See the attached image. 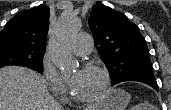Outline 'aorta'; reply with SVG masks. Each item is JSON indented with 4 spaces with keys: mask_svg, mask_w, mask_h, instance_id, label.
Wrapping results in <instances>:
<instances>
[{
    "mask_svg": "<svg viewBox=\"0 0 171 110\" xmlns=\"http://www.w3.org/2000/svg\"><path fill=\"white\" fill-rule=\"evenodd\" d=\"M80 25V20L75 16H61L49 41L51 60L64 74L72 72L77 67L69 50V43L79 31Z\"/></svg>",
    "mask_w": 171,
    "mask_h": 110,
    "instance_id": "762f6f07",
    "label": "aorta"
}]
</instances>
